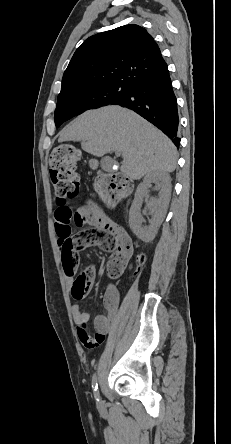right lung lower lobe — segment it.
I'll return each instance as SVG.
<instances>
[{
	"instance_id": "98d812e1",
	"label": "right lung lower lobe",
	"mask_w": 231,
	"mask_h": 444,
	"mask_svg": "<svg viewBox=\"0 0 231 444\" xmlns=\"http://www.w3.org/2000/svg\"><path fill=\"white\" fill-rule=\"evenodd\" d=\"M114 104L134 110L161 129L179 147L177 101L168 69L134 82L127 96Z\"/></svg>"
}]
</instances>
